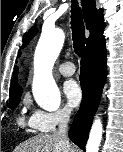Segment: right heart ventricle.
<instances>
[{
	"label": "right heart ventricle",
	"instance_id": "e07e8e85",
	"mask_svg": "<svg viewBox=\"0 0 123 152\" xmlns=\"http://www.w3.org/2000/svg\"><path fill=\"white\" fill-rule=\"evenodd\" d=\"M18 123L21 125V126H24L26 124V120H25V117L23 115H20L19 118H18ZM28 124H29V121H28ZM30 126V125H29Z\"/></svg>",
	"mask_w": 123,
	"mask_h": 152
}]
</instances>
